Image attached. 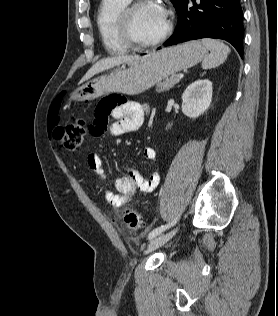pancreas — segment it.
Returning <instances> with one entry per match:
<instances>
[{
	"label": "pancreas",
	"instance_id": "1",
	"mask_svg": "<svg viewBox=\"0 0 278 316\" xmlns=\"http://www.w3.org/2000/svg\"><path fill=\"white\" fill-rule=\"evenodd\" d=\"M179 81H180V79L178 78V75L173 74L170 77L165 78L162 82H159L156 86V91L158 93L168 91L175 84H177Z\"/></svg>",
	"mask_w": 278,
	"mask_h": 316
}]
</instances>
